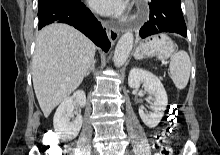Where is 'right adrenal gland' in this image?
<instances>
[{
    "mask_svg": "<svg viewBox=\"0 0 220 155\" xmlns=\"http://www.w3.org/2000/svg\"><path fill=\"white\" fill-rule=\"evenodd\" d=\"M95 64H96V60H93V62L91 63V66L89 67V69L87 70L85 77H87L91 71L95 70Z\"/></svg>",
    "mask_w": 220,
    "mask_h": 155,
    "instance_id": "obj_1",
    "label": "right adrenal gland"
}]
</instances>
